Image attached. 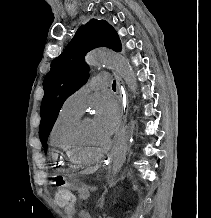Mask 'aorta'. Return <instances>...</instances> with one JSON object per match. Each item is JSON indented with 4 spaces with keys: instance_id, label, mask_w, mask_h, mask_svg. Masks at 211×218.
I'll return each instance as SVG.
<instances>
[{
    "instance_id": "aorta-1",
    "label": "aorta",
    "mask_w": 211,
    "mask_h": 218,
    "mask_svg": "<svg viewBox=\"0 0 211 218\" xmlns=\"http://www.w3.org/2000/svg\"><path fill=\"white\" fill-rule=\"evenodd\" d=\"M90 66L106 65L115 70L132 93L136 92L137 84L131 66L128 61L120 54L110 50H94L87 54L85 58ZM134 130L131 125H126L118 134L112 153H111V177L110 184L113 185L118 172L121 170L127 152L131 146Z\"/></svg>"
}]
</instances>
